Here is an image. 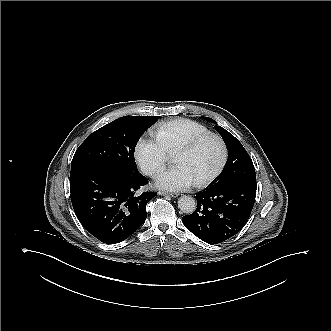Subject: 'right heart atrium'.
Here are the masks:
<instances>
[{
  "instance_id": "right-heart-atrium-1",
  "label": "right heart atrium",
  "mask_w": 331,
  "mask_h": 331,
  "mask_svg": "<svg viewBox=\"0 0 331 331\" xmlns=\"http://www.w3.org/2000/svg\"><path fill=\"white\" fill-rule=\"evenodd\" d=\"M136 162L146 175L161 171L167 161V150L154 139H140L136 147Z\"/></svg>"
}]
</instances>
